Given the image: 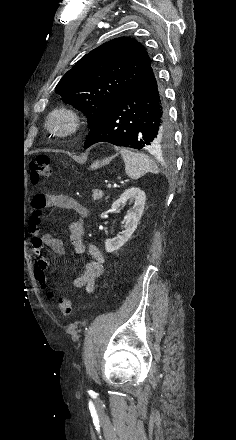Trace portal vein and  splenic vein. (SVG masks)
<instances>
[{
	"mask_svg": "<svg viewBox=\"0 0 236 440\" xmlns=\"http://www.w3.org/2000/svg\"><path fill=\"white\" fill-rule=\"evenodd\" d=\"M107 187L110 189V188L112 187V185L109 183V184L107 185Z\"/></svg>",
	"mask_w": 236,
	"mask_h": 440,
	"instance_id": "1",
	"label": "portal vein and splenic vein"
}]
</instances>
